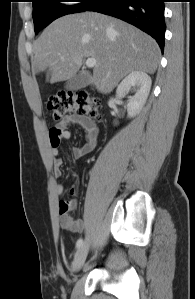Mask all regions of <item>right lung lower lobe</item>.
I'll use <instances>...</instances> for the list:
<instances>
[{
  "instance_id": "obj_1",
  "label": "right lung lower lobe",
  "mask_w": 195,
  "mask_h": 299,
  "mask_svg": "<svg viewBox=\"0 0 195 299\" xmlns=\"http://www.w3.org/2000/svg\"><path fill=\"white\" fill-rule=\"evenodd\" d=\"M165 0H93L87 10L122 19L151 35L164 48ZM86 10V11H87Z\"/></svg>"
}]
</instances>
